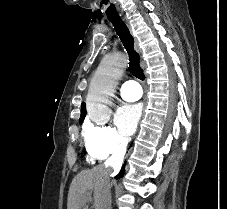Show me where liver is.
<instances>
[{
	"label": "liver",
	"instance_id": "1",
	"mask_svg": "<svg viewBox=\"0 0 227 209\" xmlns=\"http://www.w3.org/2000/svg\"><path fill=\"white\" fill-rule=\"evenodd\" d=\"M101 169H91V171H81L74 177L69 193L67 209H81L87 197L88 189H94L97 179L100 177ZM104 175H108L106 169H102Z\"/></svg>",
	"mask_w": 227,
	"mask_h": 209
}]
</instances>
